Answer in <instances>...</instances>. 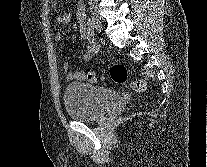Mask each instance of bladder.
<instances>
[{"label": "bladder", "mask_w": 207, "mask_h": 167, "mask_svg": "<svg viewBox=\"0 0 207 167\" xmlns=\"http://www.w3.org/2000/svg\"><path fill=\"white\" fill-rule=\"evenodd\" d=\"M62 98L70 117L77 121H92L105 113L118 94L112 89L71 82L65 86Z\"/></svg>", "instance_id": "1"}]
</instances>
